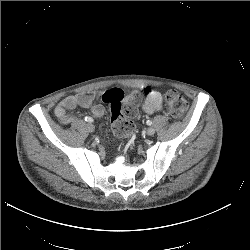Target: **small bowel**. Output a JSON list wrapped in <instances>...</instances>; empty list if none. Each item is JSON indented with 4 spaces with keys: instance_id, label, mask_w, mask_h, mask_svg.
<instances>
[{
    "instance_id": "small-bowel-1",
    "label": "small bowel",
    "mask_w": 250,
    "mask_h": 250,
    "mask_svg": "<svg viewBox=\"0 0 250 250\" xmlns=\"http://www.w3.org/2000/svg\"><path fill=\"white\" fill-rule=\"evenodd\" d=\"M145 94L146 97L142 106L145 113L153 114L163 108V97L160 92L151 88H146ZM99 97V94L93 93L67 96L55 107V115L63 124H70L75 119L68 113V111L80 106L90 109L94 117L101 118L104 115L105 109L101 104L95 103Z\"/></svg>"
}]
</instances>
